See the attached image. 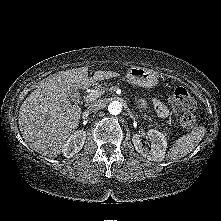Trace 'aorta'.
I'll list each match as a JSON object with an SVG mask.
<instances>
[{
	"mask_svg": "<svg viewBox=\"0 0 221 221\" xmlns=\"http://www.w3.org/2000/svg\"><path fill=\"white\" fill-rule=\"evenodd\" d=\"M122 110V104L119 101H112L109 105H108V111L110 114L112 115H118L121 113Z\"/></svg>",
	"mask_w": 221,
	"mask_h": 221,
	"instance_id": "762f6f07",
	"label": "aorta"
}]
</instances>
